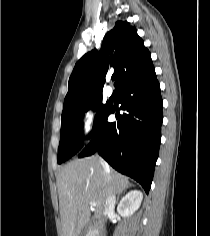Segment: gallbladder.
<instances>
[{
	"label": "gallbladder",
	"instance_id": "1",
	"mask_svg": "<svg viewBox=\"0 0 210 236\" xmlns=\"http://www.w3.org/2000/svg\"><path fill=\"white\" fill-rule=\"evenodd\" d=\"M90 227V224L88 223L80 232L79 236H86V233L88 232Z\"/></svg>",
	"mask_w": 210,
	"mask_h": 236
}]
</instances>
